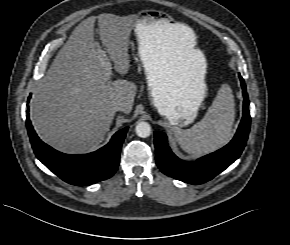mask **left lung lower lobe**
<instances>
[{
    "label": "left lung lower lobe",
    "mask_w": 290,
    "mask_h": 245,
    "mask_svg": "<svg viewBox=\"0 0 290 245\" xmlns=\"http://www.w3.org/2000/svg\"><path fill=\"white\" fill-rule=\"evenodd\" d=\"M239 77L244 97L243 117L232 141L196 162H187L172 153L165 133L155 132L156 163L164 174L190 184H202L225 170L240 156L248 138L251 117L245 82Z\"/></svg>",
    "instance_id": "0a47b994"
}]
</instances>
